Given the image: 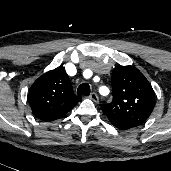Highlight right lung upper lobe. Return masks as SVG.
Wrapping results in <instances>:
<instances>
[{
  "label": "right lung upper lobe",
  "instance_id": "1",
  "mask_svg": "<svg viewBox=\"0 0 171 171\" xmlns=\"http://www.w3.org/2000/svg\"><path fill=\"white\" fill-rule=\"evenodd\" d=\"M81 100V97L74 94L62 65L39 77L28 94L33 114L42 121L61 118Z\"/></svg>",
  "mask_w": 171,
  "mask_h": 171
}]
</instances>
